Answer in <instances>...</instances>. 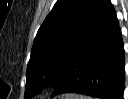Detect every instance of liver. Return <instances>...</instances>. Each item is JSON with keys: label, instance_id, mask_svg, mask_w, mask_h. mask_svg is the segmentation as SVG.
<instances>
[{"label": "liver", "instance_id": "1", "mask_svg": "<svg viewBox=\"0 0 128 99\" xmlns=\"http://www.w3.org/2000/svg\"><path fill=\"white\" fill-rule=\"evenodd\" d=\"M78 97L80 96L74 94H68L65 96V99H79Z\"/></svg>", "mask_w": 128, "mask_h": 99}]
</instances>
